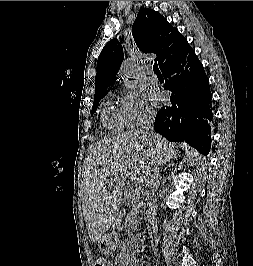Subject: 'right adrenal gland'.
Instances as JSON below:
<instances>
[{
  "mask_svg": "<svg viewBox=\"0 0 253 266\" xmlns=\"http://www.w3.org/2000/svg\"><path fill=\"white\" fill-rule=\"evenodd\" d=\"M157 184V186L159 185V181L156 183Z\"/></svg>",
  "mask_w": 253,
  "mask_h": 266,
  "instance_id": "right-adrenal-gland-1",
  "label": "right adrenal gland"
}]
</instances>
